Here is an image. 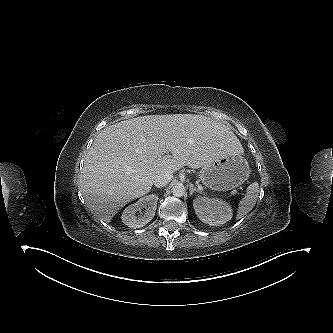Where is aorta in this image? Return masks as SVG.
I'll return each mask as SVG.
<instances>
[{"instance_id": "obj_1", "label": "aorta", "mask_w": 333, "mask_h": 333, "mask_svg": "<svg viewBox=\"0 0 333 333\" xmlns=\"http://www.w3.org/2000/svg\"><path fill=\"white\" fill-rule=\"evenodd\" d=\"M185 186L182 183H177L172 187V194L175 197H182L185 194Z\"/></svg>"}]
</instances>
